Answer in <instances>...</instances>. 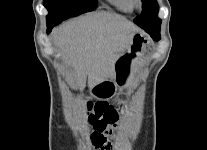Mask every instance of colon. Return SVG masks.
<instances>
[{
  "label": "colon",
  "mask_w": 207,
  "mask_h": 150,
  "mask_svg": "<svg viewBox=\"0 0 207 150\" xmlns=\"http://www.w3.org/2000/svg\"><path fill=\"white\" fill-rule=\"evenodd\" d=\"M89 123L94 133L90 134L95 139V147L100 150L110 149V141L116 137L118 131L117 111L114 107L98 102L89 106Z\"/></svg>",
  "instance_id": "5ec220e1"
}]
</instances>
